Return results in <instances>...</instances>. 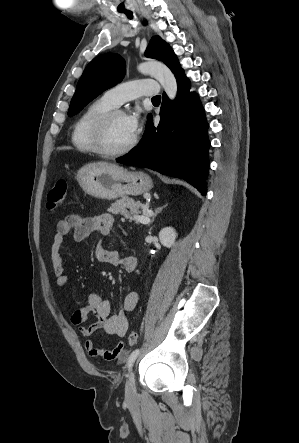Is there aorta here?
<instances>
[{"instance_id": "762f6f07", "label": "aorta", "mask_w": 299, "mask_h": 443, "mask_svg": "<svg viewBox=\"0 0 299 443\" xmlns=\"http://www.w3.org/2000/svg\"><path fill=\"white\" fill-rule=\"evenodd\" d=\"M137 69L144 75L154 77L159 81L169 99H175L178 90L177 81L166 65L157 61H148L139 64Z\"/></svg>"}]
</instances>
